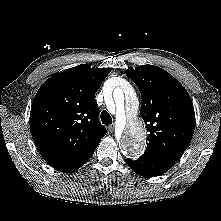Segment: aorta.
<instances>
[{
  "label": "aorta",
  "instance_id": "1",
  "mask_svg": "<svg viewBox=\"0 0 221 221\" xmlns=\"http://www.w3.org/2000/svg\"><path fill=\"white\" fill-rule=\"evenodd\" d=\"M113 100L116 106V118L124 128L120 139L123 152L129 157L140 156L146 145V129L142 119L137 117L139 101L134 88L127 82L116 86L113 90ZM106 102L108 103L107 99Z\"/></svg>",
  "mask_w": 221,
  "mask_h": 221
}]
</instances>
